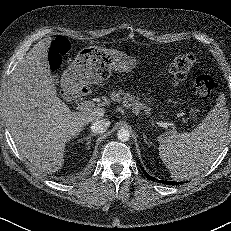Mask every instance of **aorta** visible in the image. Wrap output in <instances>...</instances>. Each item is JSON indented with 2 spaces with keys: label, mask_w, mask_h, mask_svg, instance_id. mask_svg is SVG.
I'll list each match as a JSON object with an SVG mask.
<instances>
[{
  "label": "aorta",
  "mask_w": 231,
  "mask_h": 231,
  "mask_svg": "<svg viewBox=\"0 0 231 231\" xmlns=\"http://www.w3.org/2000/svg\"><path fill=\"white\" fill-rule=\"evenodd\" d=\"M117 138L122 141L126 142L130 139V132L127 129H120L117 132Z\"/></svg>",
  "instance_id": "762f6f07"
}]
</instances>
